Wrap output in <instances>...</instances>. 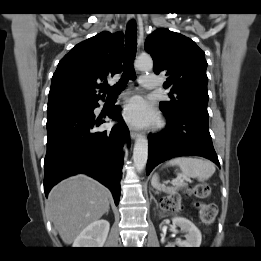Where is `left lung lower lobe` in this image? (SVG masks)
Instances as JSON below:
<instances>
[{
	"instance_id": "obj_1",
	"label": "left lung lower lobe",
	"mask_w": 261,
	"mask_h": 261,
	"mask_svg": "<svg viewBox=\"0 0 261 261\" xmlns=\"http://www.w3.org/2000/svg\"><path fill=\"white\" fill-rule=\"evenodd\" d=\"M167 126L149 138L147 175L160 163L179 156H202L219 165L209 133L208 117L187 109L166 114Z\"/></svg>"
}]
</instances>
